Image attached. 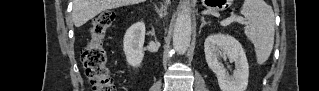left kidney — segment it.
<instances>
[{
  "label": "left kidney",
  "mask_w": 319,
  "mask_h": 91,
  "mask_svg": "<svg viewBox=\"0 0 319 91\" xmlns=\"http://www.w3.org/2000/svg\"><path fill=\"white\" fill-rule=\"evenodd\" d=\"M204 52L209 68L216 74L221 91H245L248 85L249 65L240 42L225 34H213L205 39ZM235 62L233 75H228L220 56Z\"/></svg>",
  "instance_id": "1"
}]
</instances>
